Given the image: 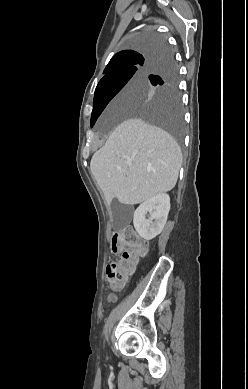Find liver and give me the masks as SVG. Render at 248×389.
Returning a JSON list of instances; mask_svg holds the SVG:
<instances>
[{
  "label": "liver",
  "mask_w": 248,
  "mask_h": 389,
  "mask_svg": "<svg viewBox=\"0 0 248 389\" xmlns=\"http://www.w3.org/2000/svg\"><path fill=\"white\" fill-rule=\"evenodd\" d=\"M133 96L134 89L128 85L115 104L128 106L134 102ZM181 164V149L169 133L131 118L119 124L94 153L90 169L107 205L114 198L134 205L172 190Z\"/></svg>",
  "instance_id": "liver-1"
}]
</instances>
